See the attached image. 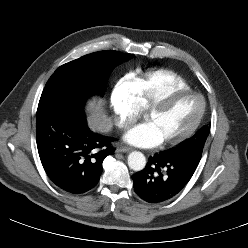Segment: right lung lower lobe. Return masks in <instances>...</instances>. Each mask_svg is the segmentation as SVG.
<instances>
[{
  "label": "right lung lower lobe",
  "mask_w": 248,
  "mask_h": 248,
  "mask_svg": "<svg viewBox=\"0 0 248 248\" xmlns=\"http://www.w3.org/2000/svg\"><path fill=\"white\" fill-rule=\"evenodd\" d=\"M36 140L41 163L51 181L62 190L81 194L94 188L103 160L113 155L114 138L93 133L82 107L40 106Z\"/></svg>",
  "instance_id": "obj_1"
}]
</instances>
